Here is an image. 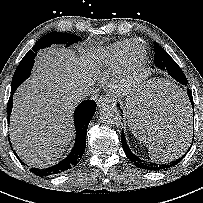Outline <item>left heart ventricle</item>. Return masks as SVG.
<instances>
[{
	"label": "left heart ventricle",
	"instance_id": "obj_1",
	"mask_svg": "<svg viewBox=\"0 0 203 203\" xmlns=\"http://www.w3.org/2000/svg\"><path fill=\"white\" fill-rule=\"evenodd\" d=\"M141 55H142V47L140 45L133 46L131 53L132 59L137 60L141 57Z\"/></svg>",
	"mask_w": 203,
	"mask_h": 203
}]
</instances>
